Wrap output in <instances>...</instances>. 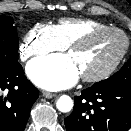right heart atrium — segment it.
Returning <instances> with one entry per match:
<instances>
[{"label": "right heart atrium", "mask_w": 131, "mask_h": 131, "mask_svg": "<svg viewBox=\"0 0 131 131\" xmlns=\"http://www.w3.org/2000/svg\"><path fill=\"white\" fill-rule=\"evenodd\" d=\"M64 48L53 26L36 24L26 33L19 51L21 58L27 60Z\"/></svg>", "instance_id": "d8ad5b80"}]
</instances>
